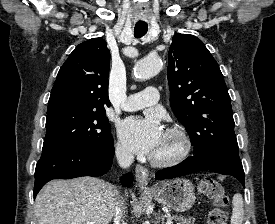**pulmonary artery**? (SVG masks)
<instances>
[{
    "instance_id": "obj_1",
    "label": "pulmonary artery",
    "mask_w": 275,
    "mask_h": 224,
    "mask_svg": "<svg viewBox=\"0 0 275 224\" xmlns=\"http://www.w3.org/2000/svg\"><path fill=\"white\" fill-rule=\"evenodd\" d=\"M159 98L160 92L157 88L147 87L142 92L128 96L122 108L126 111H136L156 104Z\"/></svg>"
}]
</instances>
